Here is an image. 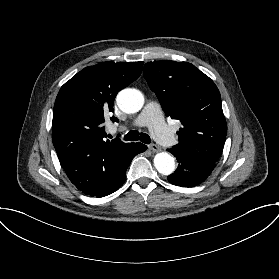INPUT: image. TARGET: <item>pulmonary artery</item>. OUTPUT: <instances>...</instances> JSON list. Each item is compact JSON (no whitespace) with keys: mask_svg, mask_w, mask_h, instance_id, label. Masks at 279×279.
I'll return each mask as SVG.
<instances>
[{"mask_svg":"<svg viewBox=\"0 0 279 279\" xmlns=\"http://www.w3.org/2000/svg\"><path fill=\"white\" fill-rule=\"evenodd\" d=\"M167 114L164 110L159 109L156 101H149L142 113L135 121V125H150L153 128L152 137L161 146H166L172 141V133L176 128L166 125Z\"/></svg>","mask_w":279,"mask_h":279,"instance_id":"1","label":"pulmonary artery"}]
</instances>
